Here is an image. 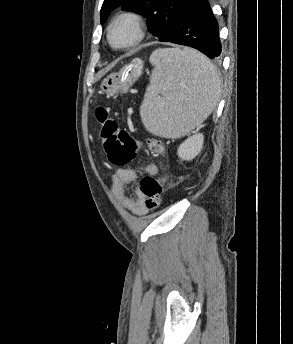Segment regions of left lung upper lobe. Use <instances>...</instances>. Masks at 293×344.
<instances>
[{
	"label": "left lung upper lobe",
	"mask_w": 293,
	"mask_h": 344,
	"mask_svg": "<svg viewBox=\"0 0 293 344\" xmlns=\"http://www.w3.org/2000/svg\"><path fill=\"white\" fill-rule=\"evenodd\" d=\"M190 0H104L100 18L104 23L110 12L118 7L148 18L149 31L159 40L174 27Z\"/></svg>",
	"instance_id": "obj_1"
}]
</instances>
